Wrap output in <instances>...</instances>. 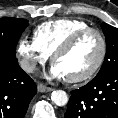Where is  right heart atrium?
I'll use <instances>...</instances> for the list:
<instances>
[{"mask_svg": "<svg viewBox=\"0 0 118 118\" xmlns=\"http://www.w3.org/2000/svg\"><path fill=\"white\" fill-rule=\"evenodd\" d=\"M16 54L27 72H34L38 65L44 64L49 55L39 46L34 38L22 37L18 41Z\"/></svg>", "mask_w": 118, "mask_h": 118, "instance_id": "right-heart-atrium-1", "label": "right heart atrium"}]
</instances>
